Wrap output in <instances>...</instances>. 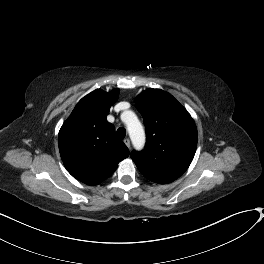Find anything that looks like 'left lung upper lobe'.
<instances>
[{
  "mask_svg": "<svg viewBox=\"0 0 264 264\" xmlns=\"http://www.w3.org/2000/svg\"><path fill=\"white\" fill-rule=\"evenodd\" d=\"M146 128L143 151L131 158L148 180L166 184L179 178L191 164L197 147V128L184 107L169 93L148 89L135 100Z\"/></svg>",
  "mask_w": 264,
  "mask_h": 264,
  "instance_id": "5c2ea615",
  "label": "left lung upper lobe"
}]
</instances>
